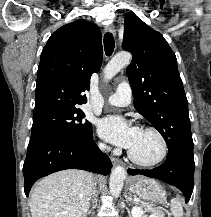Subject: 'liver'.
I'll use <instances>...</instances> for the list:
<instances>
[{"instance_id": "1", "label": "liver", "mask_w": 211, "mask_h": 217, "mask_svg": "<svg viewBox=\"0 0 211 217\" xmlns=\"http://www.w3.org/2000/svg\"><path fill=\"white\" fill-rule=\"evenodd\" d=\"M95 181L83 170H63L43 178L31 191L32 217H87Z\"/></svg>"}]
</instances>
